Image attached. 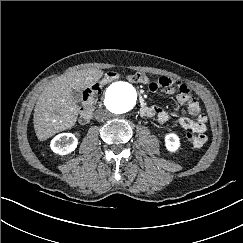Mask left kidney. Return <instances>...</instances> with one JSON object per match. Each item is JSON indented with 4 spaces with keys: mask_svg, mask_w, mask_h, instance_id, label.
Masks as SVG:
<instances>
[{
    "mask_svg": "<svg viewBox=\"0 0 243 243\" xmlns=\"http://www.w3.org/2000/svg\"><path fill=\"white\" fill-rule=\"evenodd\" d=\"M165 146L168 151L175 152L180 147V139L175 133H169L165 136Z\"/></svg>",
    "mask_w": 243,
    "mask_h": 243,
    "instance_id": "1",
    "label": "left kidney"
}]
</instances>
